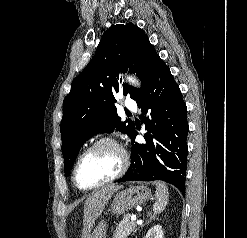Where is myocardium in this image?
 I'll return each mask as SVG.
<instances>
[{"mask_svg":"<svg viewBox=\"0 0 247 238\" xmlns=\"http://www.w3.org/2000/svg\"><path fill=\"white\" fill-rule=\"evenodd\" d=\"M103 144L113 145L119 150V152L121 154V158H122L121 167H120L119 171L115 175L110 177L109 179H107L103 182H100L96 185L90 186V187H84L79 183L78 178H77V172H78L79 165H80L82 159L87 154H89L91 151H93L94 149H96L97 147H99ZM129 164H130L129 155H128L127 151L125 150V148L113 137L104 136V137L97 139L95 142H93L89 147H87L79 155V157L77 158V160L75 162L74 168H73L72 179H73L75 186L77 188H79L80 190H83V191L94 190V189L100 188V187H102L106 184H109V183L119 179L120 177H122L125 174V172L127 171Z\"/></svg>","mask_w":247,"mask_h":238,"instance_id":"obj_1","label":"myocardium"}]
</instances>
